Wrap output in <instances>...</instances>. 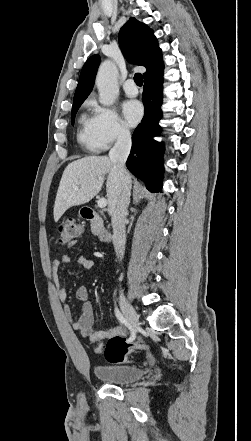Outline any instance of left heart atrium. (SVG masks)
Returning a JSON list of instances; mask_svg holds the SVG:
<instances>
[{"label":"left heart atrium","mask_w":251,"mask_h":441,"mask_svg":"<svg viewBox=\"0 0 251 441\" xmlns=\"http://www.w3.org/2000/svg\"><path fill=\"white\" fill-rule=\"evenodd\" d=\"M122 111L126 123L135 126L143 117V107L137 100H128L123 103Z\"/></svg>","instance_id":"39dd6f15"}]
</instances>
